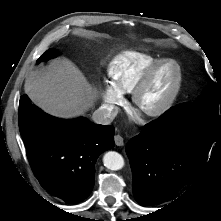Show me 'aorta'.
<instances>
[{
  "instance_id": "obj_1",
  "label": "aorta",
  "mask_w": 221,
  "mask_h": 221,
  "mask_svg": "<svg viewBox=\"0 0 221 221\" xmlns=\"http://www.w3.org/2000/svg\"><path fill=\"white\" fill-rule=\"evenodd\" d=\"M104 166L110 170H120L124 166V159L123 157L115 152L109 151L103 157Z\"/></svg>"
}]
</instances>
